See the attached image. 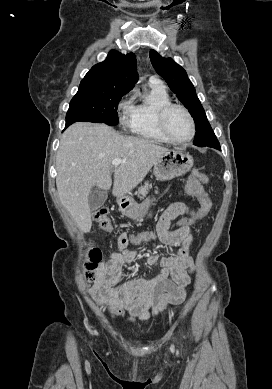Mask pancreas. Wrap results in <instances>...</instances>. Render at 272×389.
I'll return each instance as SVG.
<instances>
[{
	"mask_svg": "<svg viewBox=\"0 0 272 389\" xmlns=\"http://www.w3.org/2000/svg\"><path fill=\"white\" fill-rule=\"evenodd\" d=\"M151 188V185L149 183H146L144 186H141L139 189H138V193L141 195V196H145L148 192H149V189Z\"/></svg>",
	"mask_w": 272,
	"mask_h": 389,
	"instance_id": "obj_1",
	"label": "pancreas"
}]
</instances>
